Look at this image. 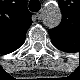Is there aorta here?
Here are the masks:
<instances>
[{"mask_svg":"<svg viewBox=\"0 0 80 80\" xmlns=\"http://www.w3.org/2000/svg\"><path fill=\"white\" fill-rule=\"evenodd\" d=\"M61 19H62V14H61L60 8L58 6H56V7L48 6L47 7V12L44 17V23L48 27L58 26L61 22Z\"/></svg>","mask_w":80,"mask_h":80,"instance_id":"aorta-1","label":"aorta"}]
</instances>
